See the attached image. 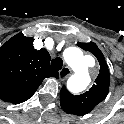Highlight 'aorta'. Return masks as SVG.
I'll return each mask as SVG.
<instances>
[{
	"mask_svg": "<svg viewBox=\"0 0 124 124\" xmlns=\"http://www.w3.org/2000/svg\"><path fill=\"white\" fill-rule=\"evenodd\" d=\"M63 58L74 71L67 81L69 90L73 93L82 92L91 82L86 57L79 48L68 47L63 53Z\"/></svg>",
	"mask_w": 124,
	"mask_h": 124,
	"instance_id": "aorta-1",
	"label": "aorta"
}]
</instances>
